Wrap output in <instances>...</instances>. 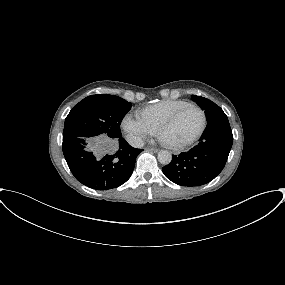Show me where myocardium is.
I'll return each mask as SVG.
<instances>
[{
	"instance_id": "obj_1",
	"label": "myocardium",
	"mask_w": 285,
	"mask_h": 285,
	"mask_svg": "<svg viewBox=\"0 0 285 285\" xmlns=\"http://www.w3.org/2000/svg\"><path fill=\"white\" fill-rule=\"evenodd\" d=\"M187 108H195L200 112V114L202 116V123H201L199 130L192 137H190L189 139H187L185 141H182L179 143H173V142L166 141L163 138L164 131L167 128H169L177 120L179 115ZM206 125H207V117H206L204 110L196 104L188 103V104L184 105L183 107L179 108L168 119H166L164 122H162L157 128V132L162 137L166 146H168L169 148H172V149H181V148L189 146L192 143H194L195 141H197L201 137V135L203 134V132L206 128Z\"/></svg>"
}]
</instances>
